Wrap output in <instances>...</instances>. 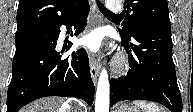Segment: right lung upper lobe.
<instances>
[{
    "label": "right lung upper lobe",
    "mask_w": 193,
    "mask_h": 112,
    "mask_svg": "<svg viewBox=\"0 0 193 112\" xmlns=\"http://www.w3.org/2000/svg\"><path fill=\"white\" fill-rule=\"evenodd\" d=\"M87 0H19L17 32L46 28L76 13Z\"/></svg>",
    "instance_id": "1"
}]
</instances>
